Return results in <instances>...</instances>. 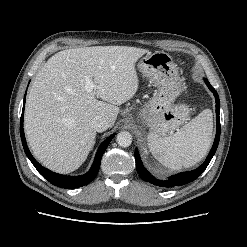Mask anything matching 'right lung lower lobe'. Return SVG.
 <instances>
[{"mask_svg":"<svg viewBox=\"0 0 247 247\" xmlns=\"http://www.w3.org/2000/svg\"><path fill=\"white\" fill-rule=\"evenodd\" d=\"M25 98L26 94L24 96V104H25ZM23 113H24V107L22 111V116L20 120V135H21V140L23 144L24 151L27 155V157L30 159L32 164L35 166V168L38 170V172L50 183H52L55 186L61 187V188H66V189H73V188H78L84 185H87L90 183L94 178L96 177L100 163H101V158L103 153L105 152L107 146L109 145L110 141L112 138L115 136V134L111 135L108 137L99 147L93 165L91 169L84 175L81 176H65L61 174L54 173L43 166H41L32 156L30 153L26 140H25V135H24V130H23Z\"/></svg>","mask_w":247,"mask_h":247,"instance_id":"obj_1","label":"right lung lower lobe"}]
</instances>
